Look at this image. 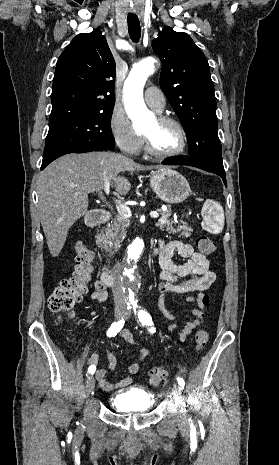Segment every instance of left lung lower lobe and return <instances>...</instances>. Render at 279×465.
Returning <instances> with one entry per match:
<instances>
[{
  "label": "left lung lower lobe",
  "instance_id": "obj_1",
  "mask_svg": "<svg viewBox=\"0 0 279 465\" xmlns=\"http://www.w3.org/2000/svg\"><path fill=\"white\" fill-rule=\"evenodd\" d=\"M162 164H165V165H189V166L200 168V169L208 171V172H212V173L222 177L223 182L227 186L226 176H225L224 172H219V171L213 169L212 167L208 166L207 164H205V163H203V162H201V161H199L197 159L190 158V157H184V156L175 157V158H167L166 160H164L162 162Z\"/></svg>",
  "mask_w": 279,
  "mask_h": 465
}]
</instances>
